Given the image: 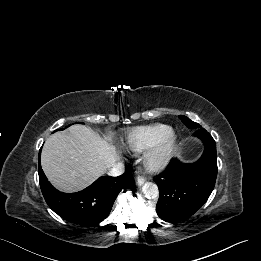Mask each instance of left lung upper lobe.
<instances>
[{
	"label": "left lung upper lobe",
	"mask_w": 261,
	"mask_h": 261,
	"mask_svg": "<svg viewBox=\"0 0 261 261\" xmlns=\"http://www.w3.org/2000/svg\"><path fill=\"white\" fill-rule=\"evenodd\" d=\"M179 118L182 120V122L189 128L192 129H198L199 127H201L198 123H195L193 121H191L188 117L186 116H179Z\"/></svg>",
	"instance_id": "left-lung-upper-lobe-1"
}]
</instances>
